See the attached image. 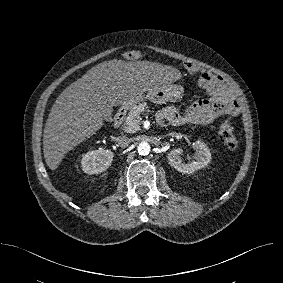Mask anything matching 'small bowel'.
Returning a JSON list of instances; mask_svg holds the SVG:
<instances>
[{
    "instance_id": "c3829d8e",
    "label": "small bowel",
    "mask_w": 283,
    "mask_h": 283,
    "mask_svg": "<svg viewBox=\"0 0 283 283\" xmlns=\"http://www.w3.org/2000/svg\"><path fill=\"white\" fill-rule=\"evenodd\" d=\"M186 68L198 73L199 84L206 90L208 98L195 101L183 112L167 107L158 113V121L167 120L173 126L206 125L224 115L239 112L240 105L223 78L191 63H187Z\"/></svg>"
}]
</instances>
